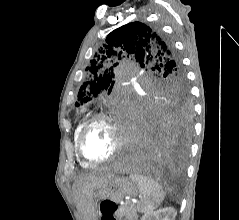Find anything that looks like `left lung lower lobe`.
Here are the masks:
<instances>
[{
  "label": "left lung lower lobe",
  "mask_w": 239,
  "mask_h": 220,
  "mask_svg": "<svg viewBox=\"0 0 239 220\" xmlns=\"http://www.w3.org/2000/svg\"><path fill=\"white\" fill-rule=\"evenodd\" d=\"M134 134L128 162L147 170L157 165L184 162L190 138V122L177 112H153L141 107L131 113Z\"/></svg>",
  "instance_id": "0a47b994"
}]
</instances>
